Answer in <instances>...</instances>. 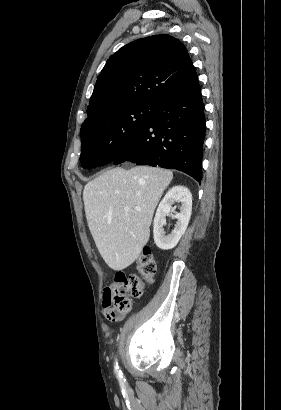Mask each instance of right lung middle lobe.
Here are the masks:
<instances>
[{"mask_svg": "<svg viewBox=\"0 0 281 410\" xmlns=\"http://www.w3.org/2000/svg\"><path fill=\"white\" fill-rule=\"evenodd\" d=\"M153 106L129 105L103 111L82 124L80 161L84 168L113 162L150 122Z\"/></svg>", "mask_w": 281, "mask_h": 410, "instance_id": "dd1d6c3e", "label": "right lung middle lobe"}]
</instances>
